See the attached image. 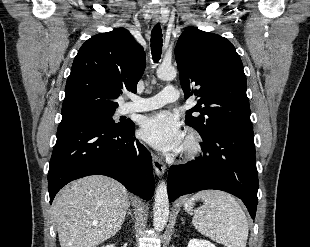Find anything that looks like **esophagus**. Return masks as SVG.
Instances as JSON below:
<instances>
[{
    "label": "esophagus",
    "instance_id": "obj_1",
    "mask_svg": "<svg viewBox=\"0 0 310 247\" xmlns=\"http://www.w3.org/2000/svg\"><path fill=\"white\" fill-rule=\"evenodd\" d=\"M153 20L155 22H158L160 20V15L158 13H154L153 15ZM153 159V168L155 170V173L158 175V176H162L166 170V166L165 164L163 163V161L157 156V155H153L152 157Z\"/></svg>",
    "mask_w": 310,
    "mask_h": 247
}]
</instances>
